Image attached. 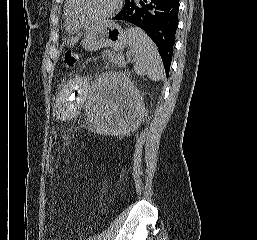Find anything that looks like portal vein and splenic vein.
<instances>
[{"instance_id": "obj_1", "label": "portal vein and splenic vein", "mask_w": 257, "mask_h": 240, "mask_svg": "<svg viewBox=\"0 0 257 240\" xmlns=\"http://www.w3.org/2000/svg\"><path fill=\"white\" fill-rule=\"evenodd\" d=\"M119 60L122 61V65H123V66L126 65V62L124 61V56H120V57H119Z\"/></svg>"}]
</instances>
